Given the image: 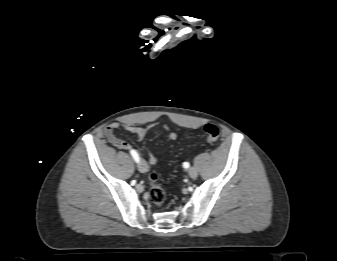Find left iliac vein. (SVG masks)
I'll use <instances>...</instances> for the list:
<instances>
[{
    "mask_svg": "<svg viewBox=\"0 0 337 261\" xmlns=\"http://www.w3.org/2000/svg\"><path fill=\"white\" fill-rule=\"evenodd\" d=\"M188 174L191 178L195 179L198 176V171L196 168H190Z\"/></svg>",
    "mask_w": 337,
    "mask_h": 261,
    "instance_id": "4c4485c4",
    "label": "left iliac vein"
}]
</instances>
